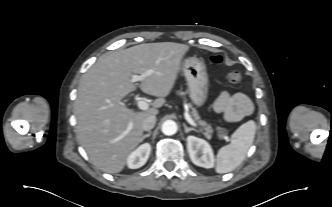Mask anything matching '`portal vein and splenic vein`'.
<instances>
[{"mask_svg": "<svg viewBox=\"0 0 332 207\" xmlns=\"http://www.w3.org/2000/svg\"><path fill=\"white\" fill-rule=\"evenodd\" d=\"M152 73V71H147L141 75H133L132 76V82H140L142 81L146 76L150 75ZM122 104L125 103L124 102H121ZM137 105L138 107L141 109V110H147L149 108V104L147 102H145L144 100L142 99H139L138 102H137ZM185 119L187 120V122L194 126V127H197V124L195 123V121L191 118V116L188 114V113H185ZM132 129V125L129 124L127 130L125 131V134H127L130 130Z\"/></svg>", "mask_w": 332, "mask_h": 207, "instance_id": "portal-vein-and-splenic-vein-1", "label": "portal vein and splenic vein"}]
</instances>
